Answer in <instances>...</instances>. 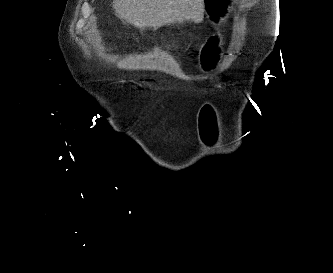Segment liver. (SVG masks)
<instances>
[{"label":"liver","mask_w":333,"mask_h":273,"mask_svg":"<svg viewBox=\"0 0 333 273\" xmlns=\"http://www.w3.org/2000/svg\"><path fill=\"white\" fill-rule=\"evenodd\" d=\"M112 6L120 19L140 29L204 18V0H113Z\"/></svg>","instance_id":"6515ba94"}]
</instances>
